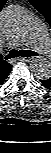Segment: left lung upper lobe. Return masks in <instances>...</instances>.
Wrapping results in <instances>:
<instances>
[{
    "instance_id": "5c2ea615",
    "label": "left lung upper lobe",
    "mask_w": 51,
    "mask_h": 153,
    "mask_svg": "<svg viewBox=\"0 0 51 153\" xmlns=\"http://www.w3.org/2000/svg\"><path fill=\"white\" fill-rule=\"evenodd\" d=\"M29 2L46 18L51 25V0H29Z\"/></svg>"
}]
</instances>
